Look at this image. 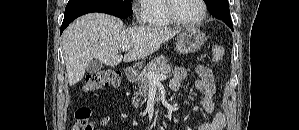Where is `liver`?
<instances>
[{
	"label": "liver",
	"instance_id": "6515ba94",
	"mask_svg": "<svg viewBox=\"0 0 299 130\" xmlns=\"http://www.w3.org/2000/svg\"><path fill=\"white\" fill-rule=\"evenodd\" d=\"M179 33L178 29L150 26L125 29L120 19L103 13L81 16L62 35L68 82L73 86L81 81L92 59L107 66L143 59ZM123 46L132 48L124 57L118 54Z\"/></svg>",
	"mask_w": 299,
	"mask_h": 130
}]
</instances>
